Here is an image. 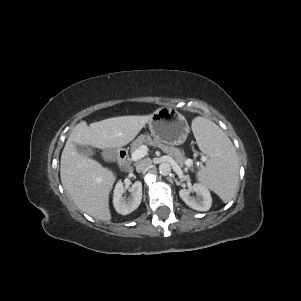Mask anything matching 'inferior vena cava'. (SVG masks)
I'll use <instances>...</instances> for the list:
<instances>
[{"label":"inferior vena cava","mask_w":301,"mask_h":301,"mask_svg":"<svg viewBox=\"0 0 301 301\" xmlns=\"http://www.w3.org/2000/svg\"><path fill=\"white\" fill-rule=\"evenodd\" d=\"M151 164L152 162L149 158L143 159L137 164L136 171L139 173L147 171L151 167Z\"/></svg>","instance_id":"602c4592"}]
</instances>
